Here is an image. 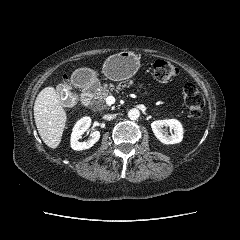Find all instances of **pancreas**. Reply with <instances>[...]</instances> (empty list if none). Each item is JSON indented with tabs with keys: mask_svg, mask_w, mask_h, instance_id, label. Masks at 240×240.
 Returning a JSON list of instances; mask_svg holds the SVG:
<instances>
[{
	"mask_svg": "<svg viewBox=\"0 0 240 240\" xmlns=\"http://www.w3.org/2000/svg\"><path fill=\"white\" fill-rule=\"evenodd\" d=\"M132 84H133L132 80L128 81L127 84L126 82L118 83L116 87L113 83L104 84L103 86L100 87L99 91L95 95V100L92 103L93 109L95 111H102V110L108 109L109 105L106 104L107 96L111 94V92L115 89L130 87L132 86ZM140 87H142V85H140Z\"/></svg>",
	"mask_w": 240,
	"mask_h": 240,
	"instance_id": "cf45deb5",
	"label": "pancreas"
}]
</instances>
